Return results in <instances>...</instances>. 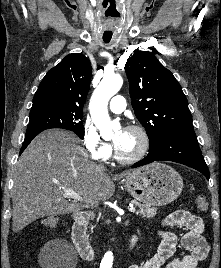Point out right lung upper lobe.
Instances as JSON below:
<instances>
[{
  "label": "right lung upper lobe",
  "instance_id": "cb5924a9",
  "mask_svg": "<svg viewBox=\"0 0 221 268\" xmlns=\"http://www.w3.org/2000/svg\"><path fill=\"white\" fill-rule=\"evenodd\" d=\"M92 68L82 54L72 53L50 69L33 98L30 112L64 109L81 111L86 100Z\"/></svg>",
  "mask_w": 221,
  "mask_h": 268
}]
</instances>
